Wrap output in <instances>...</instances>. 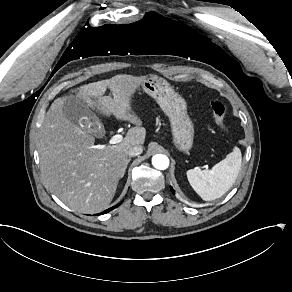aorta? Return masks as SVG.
<instances>
[{
  "label": "aorta",
  "mask_w": 292,
  "mask_h": 292,
  "mask_svg": "<svg viewBox=\"0 0 292 292\" xmlns=\"http://www.w3.org/2000/svg\"><path fill=\"white\" fill-rule=\"evenodd\" d=\"M152 164L158 170H165L169 167V159L166 155L158 154L153 157Z\"/></svg>",
  "instance_id": "aorta-1"
}]
</instances>
